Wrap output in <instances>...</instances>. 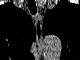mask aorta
<instances>
[{
  "label": "aorta",
  "instance_id": "obj_1",
  "mask_svg": "<svg viewBox=\"0 0 80 60\" xmlns=\"http://www.w3.org/2000/svg\"><path fill=\"white\" fill-rule=\"evenodd\" d=\"M45 50L50 54H60L62 50L61 40L57 36H48L44 39Z\"/></svg>",
  "mask_w": 80,
  "mask_h": 60
}]
</instances>
